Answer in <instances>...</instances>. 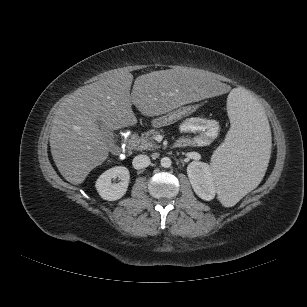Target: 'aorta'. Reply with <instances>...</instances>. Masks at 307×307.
Here are the masks:
<instances>
[{
  "label": "aorta",
  "mask_w": 307,
  "mask_h": 307,
  "mask_svg": "<svg viewBox=\"0 0 307 307\" xmlns=\"http://www.w3.org/2000/svg\"><path fill=\"white\" fill-rule=\"evenodd\" d=\"M160 164L162 167L164 168H169L172 164V161L169 157H163L161 160H160Z\"/></svg>",
  "instance_id": "762f6f07"
}]
</instances>
